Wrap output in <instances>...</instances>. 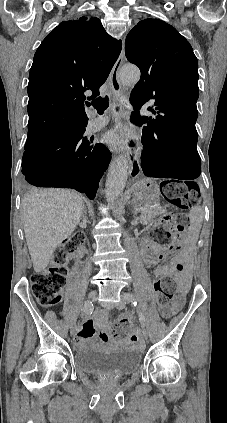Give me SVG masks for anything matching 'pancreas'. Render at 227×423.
<instances>
[{"label": "pancreas", "mask_w": 227, "mask_h": 423, "mask_svg": "<svg viewBox=\"0 0 227 423\" xmlns=\"http://www.w3.org/2000/svg\"><path fill=\"white\" fill-rule=\"evenodd\" d=\"M144 208H146V210L141 213V223H148V221H151L152 217H155V215L163 211L160 206H147V204H145Z\"/></svg>", "instance_id": "cf45deb5"}]
</instances>
